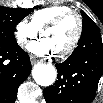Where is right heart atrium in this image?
<instances>
[{
  "label": "right heart atrium",
  "instance_id": "1",
  "mask_svg": "<svg viewBox=\"0 0 103 103\" xmlns=\"http://www.w3.org/2000/svg\"><path fill=\"white\" fill-rule=\"evenodd\" d=\"M39 30L26 20H20L14 28V37L17 44L21 47L25 46L30 40L34 39Z\"/></svg>",
  "mask_w": 103,
  "mask_h": 103
}]
</instances>
